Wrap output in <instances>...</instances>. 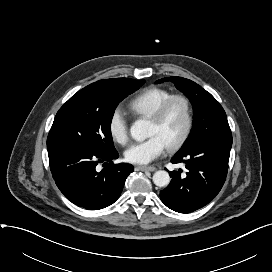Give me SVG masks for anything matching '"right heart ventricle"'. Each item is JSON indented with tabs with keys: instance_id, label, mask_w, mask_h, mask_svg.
Returning a JSON list of instances; mask_svg holds the SVG:
<instances>
[{
	"instance_id": "1",
	"label": "right heart ventricle",
	"mask_w": 272,
	"mask_h": 272,
	"mask_svg": "<svg viewBox=\"0 0 272 272\" xmlns=\"http://www.w3.org/2000/svg\"><path fill=\"white\" fill-rule=\"evenodd\" d=\"M172 92L160 87H149L135 95L128 103V108L137 117L148 118L153 111L168 97Z\"/></svg>"
}]
</instances>
